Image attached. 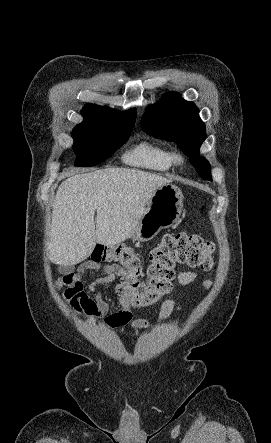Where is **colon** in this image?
I'll use <instances>...</instances> for the list:
<instances>
[{
    "label": "colon",
    "instance_id": "obj_1",
    "mask_svg": "<svg viewBox=\"0 0 271 443\" xmlns=\"http://www.w3.org/2000/svg\"><path fill=\"white\" fill-rule=\"evenodd\" d=\"M214 245L200 236L186 233L167 234L148 253L146 283L140 281V257L127 245L97 244L92 252L94 263H118L123 273L117 287L132 308L157 304L171 289L174 268L178 264L210 270L213 267Z\"/></svg>",
    "mask_w": 271,
    "mask_h": 443
}]
</instances>
